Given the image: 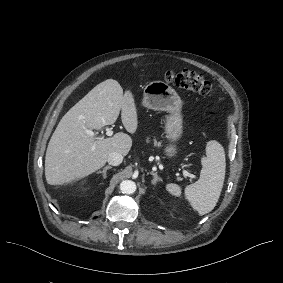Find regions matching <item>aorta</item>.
<instances>
[{
  "label": "aorta",
  "instance_id": "obj_1",
  "mask_svg": "<svg viewBox=\"0 0 283 283\" xmlns=\"http://www.w3.org/2000/svg\"><path fill=\"white\" fill-rule=\"evenodd\" d=\"M120 190L124 194H133L136 191V184L131 180H124L120 183Z\"/></svg>",
  "mask_w": 283,
  "mask_h": 283
}]
</instances>
